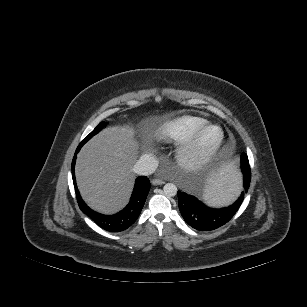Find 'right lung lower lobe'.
I'll return each instance as SVG.
<instances>
[{"mask_svg": "<svg viewBox=\"0 0 307 307\" xmlns=\"http://www.w3.org/2000/svg\"><path fill=\"white\" fill-rule=\"evenodd\" d=\"M82 144L76 150L72 161V178L76 191L77 201L82 212L90 217L99 227L109 232H120L130 227L138 218L145 203L147 194L150 190V181L146 176H140L136 179L134 190L128 205L119 213L114 215H102L90 209L82 200L76 186L75 180V161L76 154L79 152Z\"/></svg>", "mask_w": 307, "mask_h": 307, "instance_id": "obj_1", "label": "right lung lower lobe"}]
</instances>
